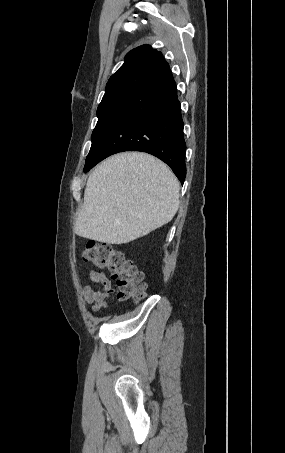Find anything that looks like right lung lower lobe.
<instances>
[{
	"label": "right lung lower lobe",
	"mask_w": 285,
	"mask_h": 453,
	"mask_svg": "<svg viewBox=\"0 0 285 453\" xmlns=\"http://www.w3.org/2000/svg\"><path fill=\"white\" fill-rule=\"evenodd\" d=\"M185 150L181 104L168 69L140 87L122 106L84 172L115 153L142 151L168 164L183 184Z\"/></svg>",
	"instance_id": "obj_1"
}]
</instances>
